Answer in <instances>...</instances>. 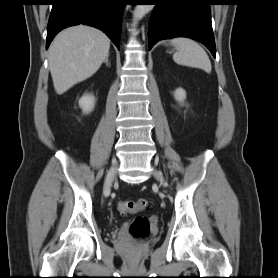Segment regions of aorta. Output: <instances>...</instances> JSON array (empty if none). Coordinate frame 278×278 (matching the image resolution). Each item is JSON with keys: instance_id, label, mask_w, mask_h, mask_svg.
<instances>
[{"instance_id": "762f6f07", "label": "aorta", "mask_w": 278, "mask_h": 278, "mask_svg": "<svg viewBox=\"0 0 278 278\" xmlns=\"http://www.w3.org/2000/svg\"><path fill=\"white\" fill-rule=\"evenodd\" d=\"M152 9V5H136L134 10V17L137 20L143 18L150 10Z\"/></svg>"}]
</instances>
